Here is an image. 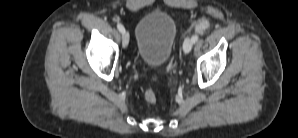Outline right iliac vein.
<instances>
[{"label": "right iliac vein", "instance_id": "63e3f726", "mask_svg": "<svg viewBox=\"0 0 298 138\" xmlns=\"http://www.w3.org/2000/svg\"><path fill=\"white\" fill-rule=\"evenodd\" d=\"M123 37H124V40L127 41L128 40V33L127 32H123Z\"/></svg>", "mask_w": 298, "mask_h": 138}]
</instances>
